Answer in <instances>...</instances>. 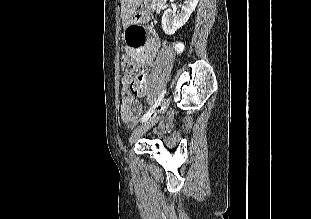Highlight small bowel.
<instances>
[{"label": "small bowel", "instance_id": "c3829d8e", "mask_svg": "<svg viewBox=\"0 0 311 219\" xmlns=\"http://www.w3.org/2000/svg\"><path fill=\"white\" fill-rule=\"evenodd\" d=\"M132 27V26H131ZM129 27L126 35L131 28ZM159 39L151 32L148 38H144L139 44L134 45L127 42L125 52L133 57L142 66H149L153 62L159 47ZM130 78H122V103L120 105V117L127 124H134L142 111V105L136 98V94L129 90Z\"/></svg>", "mask_w": 311, "mask_h": 219}]
</instances>
